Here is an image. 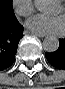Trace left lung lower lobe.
I'll list each match as a JSON object with an SVG mask.
<instances>
[{"label": "left lung lower lobe", "mask_w": 65, "mask_h": 89, "mask_svg": "<svg viewBox=\"0 0 65 89\" xmlns=\"http://www.w3.org/2000/svg\"><path fill=\"white\" fill-rule=\"evenodd\" d=\"M45 56L52 66L65 70V38L59 40V48L55 52L46 53Z\"/></svg>", "instance_id": "0a47b994"}]
</instances>
